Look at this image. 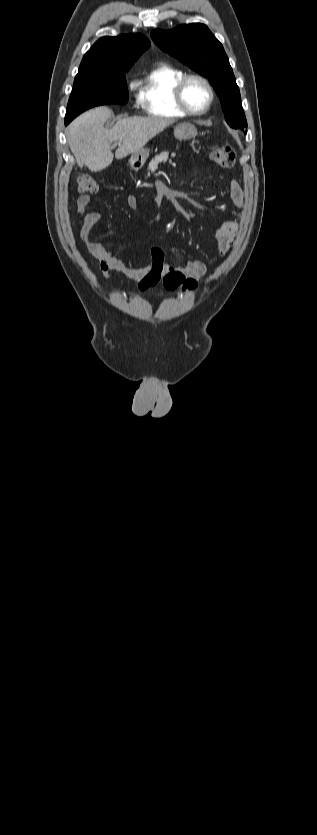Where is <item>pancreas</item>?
<instances>
[{
  "label": "pancreas",
  "instance_id": "cf45deb5",
  "mask_svg": "<svg viewBox=\"0 0 317 835\" xmlns=\"http://www.w3.org/2000/svg\"><path fill=\"white\" fill-rule=\"evenodd\" d=\"M175 155H176L175 153H172V154H171V157H174ZM168 157H169V152H162V153H160L159 155H156V156H155V157H154V158L150 161L149 166H148V170H149V171H151V173L155 172V171L157 170V168H158V165H159L161 162H166V161L168 160ZM148 176H150V173H149V172H148Z\"/></svg>",
  "mask_w": 317,
  "mask_h": 835
}]
</instances>
